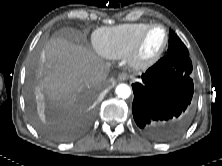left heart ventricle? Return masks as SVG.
Segmentation results:
<instances>
[{
	"mask_svg": "<svg viewBox=\"0 0 222 166\" xmlns=\"http://www.w3.org/2000/svg\"><path fill=\"white\" fill-rule=\"evenodd\" d=\"M164 41V32L160 28L151 30L146 36L141 47V56L150 57L155 54L162 46Z\"/></svg>",
	"mask_w": 222,
	"mask_h": 166,
	"instance_id": "b2bd125f",
	"label": "left heart ventricle"
}]
</instances>
